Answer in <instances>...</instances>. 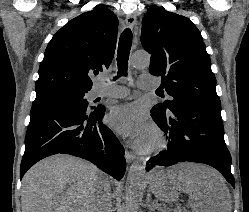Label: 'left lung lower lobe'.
<instances>
[{
    "instance_id": "left-lung-lower-lobe-1",
    "label": "left lung lower lobe",
    "mask_w": 249,
    "mask_h": 212,
    "mask_svg": "<svg viewBox=\"0 0 249 212\" xmlns=\"http://www.w3.org/2000/svg\"><path fill=\"white\" fill-rule=\"evenodd\" d=\"M151 116L166 135L167 149L147 162V171L184 161L204 163L216 168L234 186L221 110L187 105L163 113L153 107Z\"/></svg>"
}]
</instances>
